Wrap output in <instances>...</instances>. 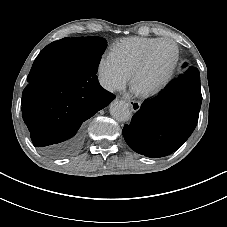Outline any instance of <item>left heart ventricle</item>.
<instances>
[{
	"instance_id": "obj_1",
	"label": "left heart ventricle",
	"mask_w": 227,
	"mask_h": 227,
	"mask_svg": "<svg viewBox=\"0 0 227 227\" xmlns=\"http://www.w3.org/2000/svg\"><path fill=\"white\" fill-rule=\"evenodd\" d=\"M175 55L176 48L172 43L159 44L153 51L148 65L135 77V89L146 91L158 84L166 74Z\"/></svg>"
}]
</instances>
